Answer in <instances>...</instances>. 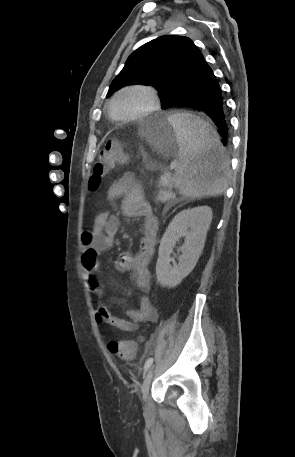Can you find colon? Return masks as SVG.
I'll return each instance as SVG.
<instances>
[{
  "instance_id": "colon-1",
  "label": "colon",
  "mask_w": 295,
  "mask_h": 457,
  "mask_svg": "<svg viewBox=\"0 0 295 457\" xmlns=\"http://www.w3.org/2000/svg\"><path fill=\"white\" fill-rule=\"evenodd\" d=\"M127 155L122 148L120 141L111 139L101 148L93 167L90 177L89 187L92 191L97 190L104 177L118 166L125 164ZM137 343L133 340L106 341L105 349L109 350L110 355H118L125 360H132L135 356Z\"/></svg>"
}]
</instances>
